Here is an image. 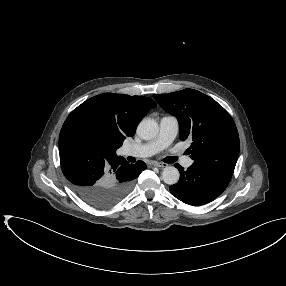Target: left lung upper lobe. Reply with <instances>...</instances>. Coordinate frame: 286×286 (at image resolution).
I'll use <instances>...</instances> for the list:
<instances>
[{"mask_svg":"<svg viewBox=\"0 0 286 286\" xmlns=\"http://www.w3.org/2000/svg\"><path fill=\"white\" fill-rule=\"evenodd\" d=\"M177 117L180 139H192L188 149L193 165L232 176L239 155V136L229 113L214 99L194 89L153 95Z\"/></svg>","mask_w":286,"mask_h":286,"instance_id":"obj_1","label":"left lung upper lobe"}]
</instances>
